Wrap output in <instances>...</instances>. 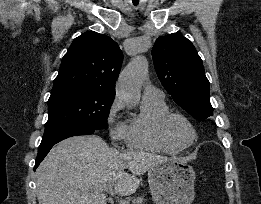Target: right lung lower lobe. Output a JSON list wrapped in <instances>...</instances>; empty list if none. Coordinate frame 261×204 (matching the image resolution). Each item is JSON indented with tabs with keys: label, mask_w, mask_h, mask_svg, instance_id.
<instances>
[{
	"label": "right lung lower lobe",
	"mask_w": 261,
	"mask_h": 204,
	"mask_svg": "<svg viewBox=\"0 0 261 204\" xmlns=\"http://www.w3.org/2000/svg\"><path fill=\"white\" fill-rule=\"evenodd\" d=\"M95 129H75L56 132L47 136H43L42 142L38 148V155L34 170L38 167L40 162L45 158L50 149L58 142L76 135H91Z\"/></svg>",
	"instance_id": "right-lung-lower-lobe-1"
}]
</instances>
